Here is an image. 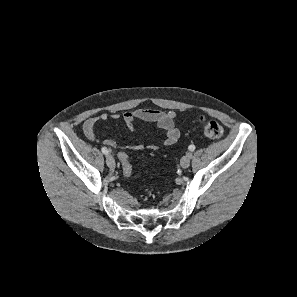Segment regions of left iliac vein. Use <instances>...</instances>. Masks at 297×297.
I'll use <instances>...</instances> for the list:
<instances>
[{"label": "left iliac vein", "instance_id": "4c4485c4", "mask_svg": "<svg viewBox=\"0 0 297 297\" xmlns=\"http://www.w3.org/2000/svg\"><path fill=\"white\" fill-rule=\"evenodd\" d=\"M190 155H192L191 153L186 154L185 156H183L180 160V165L182 168H188L190 165Z\"/></svg>", "mask_w": 297, "mask_h": 297}]
</instances>
